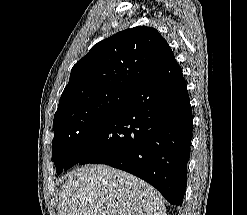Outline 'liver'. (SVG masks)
Masks as SVG:
<instances>
[{
  "label": "liver",
  "instance_id": "obj_1",
  "mask_svg": "<svg viewBox=\"0 0 247 215\" xmlns=\"http://www.w3.org/2000/svg\"><path fill=\"white\" fill-rule=\"evenodd\" d=\"M59 201L58 215H166L163 198L151 185L101 164L68 173Z\"/></svg>",
  "mask_w": 247,
  "mask_h": 215
}]
</instances>
